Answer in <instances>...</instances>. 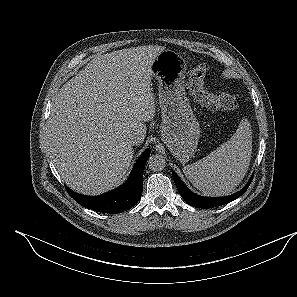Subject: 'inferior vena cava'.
<instances>
[{
	"label": "inferior vena cava",
	"instance_id": "obj_1",
	"mask_svg": "<svg viewBox=\"0 0 297 297\" xmlns=\"http://www.w3.org/2000/svg\"><path fill=\"white\" fill-rule=\"evenodd\" d=\"M142 138L136 134H130L128 136V142L131 145H138L139 143H141Z\"/></svg>",
	"mask_w": 297,
	"mask_h": 297
}]
</instances>
